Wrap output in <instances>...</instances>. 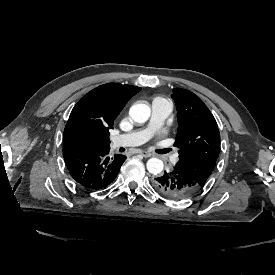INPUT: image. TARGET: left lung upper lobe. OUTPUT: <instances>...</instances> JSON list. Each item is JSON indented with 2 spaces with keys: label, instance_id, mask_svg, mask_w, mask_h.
Instances as JSON below:
<instances>
[{
  "label": "left lung upper lobe",
  "instance_id": "obj_1",
  "mask_svg": "<svg viewBox=\"0 0 275 275\" xmlns=\"http://www.w3.org/2000/svg\"><path fill=\"white\" fill-rule=\"evenodd\" d=\"M177 107L180 148L177 165L200 186L214 170L220 152V133L215 118L204 102L189 90L173 89Z\"/></svg>",
  "mask_w": 275,
  "mask_h": 275
}]
</instances>
